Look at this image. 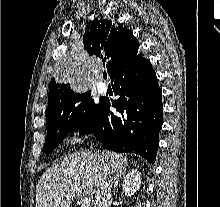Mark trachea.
Returning a JSON list of instances; mask_svg holds the SVG:
<instances>
[{"mask_svg":"<svg viewBox=\"0 0 220 207\" xmlns=\"http://www.w3.org/2000/svg\"><path fill=\"white\" fill-rule=\"evenodd\" d=\"M103 78L106 79L107 78V74L103 73Z\"/></svg>","mask_w":220,"mask_h":207,"instance_id":"trachea-1","label":"trachea"}]
</instances>
